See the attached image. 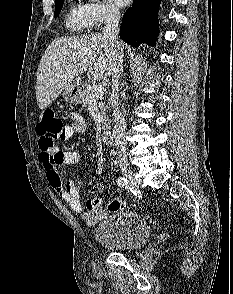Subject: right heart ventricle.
Instances as JSON below:
<instances>
[{
	"label": "right heart ventricle",
	"mask_w": 233,
	"mask_h": 294,
	"mask_svg": "<svg viewBox=\"0 0 233 294\" xmlns=\"http://www.w3.org/2000/svg\"><path fill=\"white\" fill-rule=\"evenodd\" d=\"M65 25L74 33H82L89 28V19L83 6L71 2L65 15Z\"/></svg>",
	"instance_id": "obj_1"
}]
</instances>
